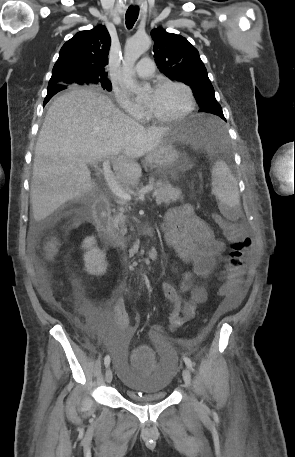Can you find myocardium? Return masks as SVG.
<instances>
[{
  "instance_id": "myocardium-1",
  "label": "myocardium",
  "mask_w": 295,
  "mask_h": 457,
  "mask_svg": "<svg viewBox=\"0 0 295 457\" xmlns=\"http://www.w3.org/2000/svg\"><path fill=\"white\" fill-rule=\"evenodd\" d=\"M164 86H178L182 88L188 98V105L184 111H182L180 114L170 116V117H163L159 116L156 113H154L149 107L146 106V112L148 117L155 122L158 123H172V122H177L185 119L187 116H189L195 109L196 106V100L193 94L192 89L185 83L181 81H176V80H170V79H162L156 82L155 84V89L164 87Z\"/></svg>"
}]
</instances>
